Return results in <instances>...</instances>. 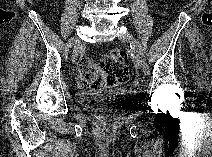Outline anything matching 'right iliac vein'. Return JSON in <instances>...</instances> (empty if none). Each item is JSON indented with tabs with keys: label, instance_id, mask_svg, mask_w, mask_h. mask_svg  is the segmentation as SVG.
<instances>
[{
	"label": "right iliac vein",
	"instance_id": "63e3f726",
	"mask_svg": "<svg viewBox=\"0 0 212 157\" xmlns=\"http://www.w3.org/2000/svg\"><path fill=\"white\" fill-rule=\"evenodd\" d=\"M73 41L75 44H74V50H73V55H72V61L75 62L78 57V54L81 50L82 44H81V40L77 37L74 38Z\"/></svg>",
	"mask_w": 212,
	"mask_h": 157
}]
</instances>
